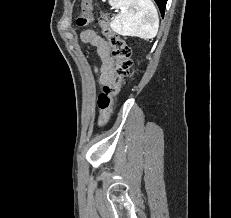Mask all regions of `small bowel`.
Listing matches in <instances>:
<instances>
[{
  "mask_svg": "<svg viewBox=\"0 0 231 218\" xmlns=\"http://www.w3.org/2000/svg\"><path fill=\"white\" fill-rule=\"evenodd\" d=\"M81 40L94 47L101 60L99 67H94L97 80L100 85V93L108 86L115 76L116 63L112 55L109 44L100 37L94 30H84L81 32Z\"/></svg>",
  "mask_w": 231,
  "mask_h": 218,
  "instance_id": "obj_1",
  "label": "small bowel"
}]
</instances>
